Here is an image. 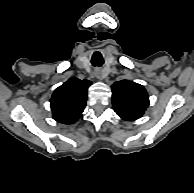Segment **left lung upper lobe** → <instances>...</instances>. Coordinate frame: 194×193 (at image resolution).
Here are the masks:
<instances>
[{"label": "left lung upper lobe", "instance_id": "1", "mask_svg": "<svg viewBox=\"0 0 194 193\" xmlns=\"http://www.w3.org/2000/svg\"><path fill=\"white\" fill-rule=\"evenodd\" d=\"M114 111L124 120L140 118L149 105V96L138 83L121 80L112 85Z\"/></svg>", "mask_w": 194, "mask_h": 193}]
</instances>
